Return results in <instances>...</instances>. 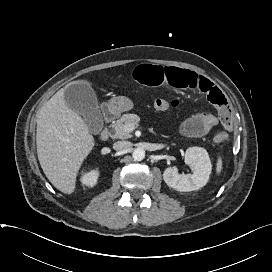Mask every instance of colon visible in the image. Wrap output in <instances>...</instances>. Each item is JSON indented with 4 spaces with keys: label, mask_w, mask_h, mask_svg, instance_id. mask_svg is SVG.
<instances>
[{
    "label": "colon",
    "mask_w": 272,
    "mask_h": 272,
    "mask_svg": "<svg viewBox=\"0 0 272 272\" xmlns=\"http://www.w3.org/2000/svg\"><path fill=\"white\" fill-rule=\"evenodd\" d=\"M179 105L177 100L156 99L153 102V108L157 111H165L171 108H176ZM228 139V135L225 131H219L214 135L215 143H223Z\"/></svg>",
    "instance_id": "colon-1"
}]
</instances>
